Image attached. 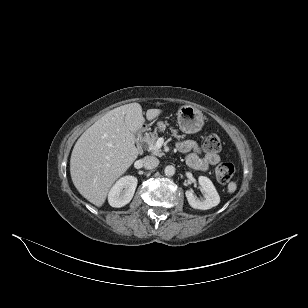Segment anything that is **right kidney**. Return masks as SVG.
<instances>
[{"mask_svg": "<svg viewBox=\"0 0 308 308\" xmlns=\"http://www.w3.org/2000/svg\"><path fill=\"white\" fill-rule=\"evenodd\" d=\"M137 183L138 180L134 176H125L118 180L109 192V204L116 208H120L128 204L133 198Z\"/></svg>", "mask_w": 308, "mask_h": 308, "instance_id": "right-kidney-1", "label": "right kidney"}]
</instances>
